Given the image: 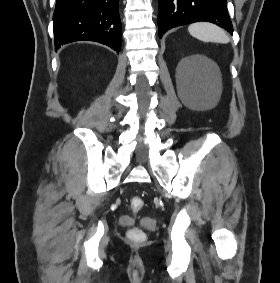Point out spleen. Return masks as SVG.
<instances>
[{"instance_id": "spleen-1", "label": "spleen", "mask_w": 280, "mask_h": 283, "mask_svg": "<svg viewBox=\"0 0 280 283\" xmlns=\"http://www.w3.org/2000/svg\"><path fill=\"white\" fill-rule=\"evenodd\" d=\"M188 31L193 37L204 42H214L221 44H227L230 42V39L226 32L212 23H193L188 27Z\"/></svg>"}]
</instances>
